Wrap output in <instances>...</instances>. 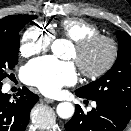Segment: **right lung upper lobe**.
<instances>
[{
	"label": "right lung upper lobe",
	"mask_w": 131,
	"mask_h": 131,
	"mask_svg": "<svg viewBox=\"0 0 131 131\" xmlns=\"http://www.w3.org/2000/svg\"><path fill=\"white\" fill-rule=\"evenodd\" d=\"M13 16V15H12ZM11 16H6L3 19H0V25H5L8 23Z\"/></svg>",
	"instance_id": "right-lung-upper-lobe-1"
}]
</instances>
